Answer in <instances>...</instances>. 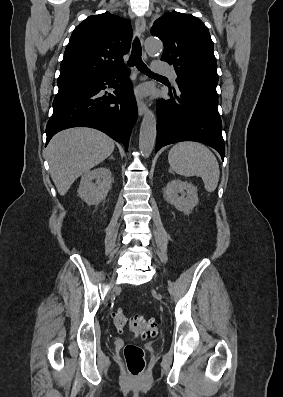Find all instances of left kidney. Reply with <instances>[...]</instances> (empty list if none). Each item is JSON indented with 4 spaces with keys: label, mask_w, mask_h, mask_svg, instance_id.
<instances>
[{
    "label": "left kidney",
    "mask_w": 283,
    "mask_h": 397,
    "mask_svg": "<svg viewBox=\"0 0 283 397\" xmlns=\"http://www.w3.org/2000/svg\"><path fill=\"white\" fill-rule=\"evenodd\" d=\"M179 193L181 197H179ZM165 200L175 208L188 214L198 204L197 188L179 179L170 181L164 191Z\"/></svg>",
    "instance_id": "5707ae66"
}]
</instances>
